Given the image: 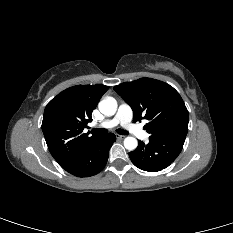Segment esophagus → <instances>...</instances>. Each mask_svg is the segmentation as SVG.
Wrapping results in <instances>:
<instances>
[{"label": "esophagus", "mask_w": 233, "mask_h": 233, "mask_svg": "<svg viewBox=\"0 0 233 233\" xmlns=\"http://www.w3.org/2000/svg\"><path fill=\"white\" fill-rule=\"evenodd\" d=\"M116 137H117V139H119V140H122V139H124V138H125V136H124V135H117Z\"/></svg>", "instance_id": "esophagus-1"}]
</instances>
